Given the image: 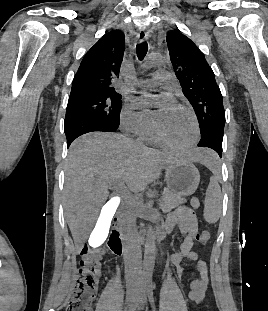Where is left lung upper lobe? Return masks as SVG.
Returning <instances> with one entry per match:
<instances>
[{
	"label": "left lung upper lobe",
	"mask_w": 268,
	"mask_h": 311,
	"mask_svg": "<svg viewBox=\"0 0 268 311\" xmlns=\"http://www.w3.org/2000/svg\"><path fill=\"white\" fill-rule=\"evenodd\" d=\"M166 41L182 92L197 116L201 136L223 133L225 111L222 95L204 54L193 41L178 31L168 32Z\"/></svg>",
	"instance_id": "1"
}]
</instances>
